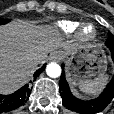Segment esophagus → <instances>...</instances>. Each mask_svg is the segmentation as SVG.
<instances>
[{
  "instance_id": "34e87169",
  "label": "esophagus",
  "mask_w": 114,
  "mask_h": 114,
  "mask_svg": "<svg viewBox=\"0 0 114 114\" xmlns=\"http://www.w3.org/2000/svg\"><path fill=\"white\" fill-rule=\"evenodd\" d=\"M49 59H50V61L59 62L61 60V56L58 52H53L50 55Z\"/></svg>"
}]
</instances>
